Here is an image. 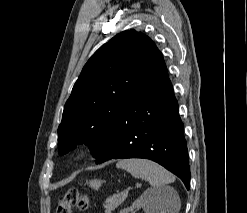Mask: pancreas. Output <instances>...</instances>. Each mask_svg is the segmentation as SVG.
<instances>
[{"label": "pancreas", "mask_w": 247, "mask_h": 213, "mask_svg": "<svg viewBox=\"0 0 247 213\" xmlns=\"http://www.w3.org/2000/svg\"><path fill=\"white\" fill-rule=\"evenodd\" d=\"M126 198L127 196L121 194H113L108 197L103 204L105 213H111V211L115 210L120 204H122Z\"/></svg>", "instance_id": "pancreas-1"}]
</instances>
